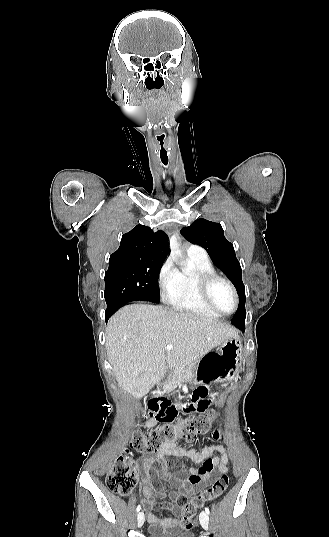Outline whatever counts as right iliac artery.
Returning <instances> with one entry per match:
<instances>
[{
	"label": "right iliac artery",
	"mask_w": 329,
	"mask_h": 537,
	"mask_svg": "<svg viewBox=\"0 0 329 537\" xmlns=\"http://www.w3.org/2000/svg\"><path fill=\"white\" fill-rule=\"evenodd\" d=\"M141 510V505L139 504L136 508V511L139 512Z\"/></svg>",
	"instance_id": "82829eb1"
}]
</instances>
